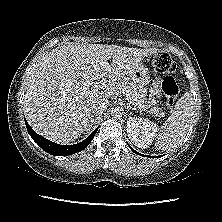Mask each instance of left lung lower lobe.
<instances>
[{
	"instance_id": "left-lung-lower-lobe-1",
	"label": "left lung lower lobe",
	"mask_w": 222,
	"mask_h": 222,
	"mask_svg": "<svg viewBox=\"0 0 222 222\" xmlns=\"http://www.w3.org/2000/svg\"><path fill=\"white\" fill-rule=\"evenodd\" d=\"M130 148H131V147H130ZM131 150H132L134 153L139 154L138 152H136V151L133 150L132 148H131ZM139 155L143 156L142 154H139ZM147 157H149V156H147Z\"/></svg>"
}]
</instances>
